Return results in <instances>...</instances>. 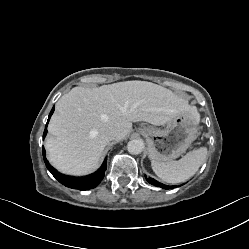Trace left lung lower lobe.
I'll list each match as a JSON object with an SVG mask.
<instances>
[{"instance_id":"left-lung-lower-lobe-1","label":"left lung lower lobe","mask_w":249,"mask_h":249,"mask_svg":"<svg viewBox=\"0 0 249 249\" xmlns=\"http://www.w3.org/2000/svg\"><path fill=\"white\" fill-rule=\"evenodd\" d=\"M147 181H148L149 183H151V184H153V185H155V186H157V187H161V188H163V189H170V188L176 187V186H166V185H164V184H161V183L157 182L156 180H154V179H152V178H149Z\"/></svg>"}]
</instances>
